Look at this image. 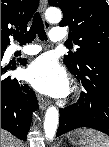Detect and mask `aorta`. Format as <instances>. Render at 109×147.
I'll use <instances>...</instances> for the list:
<instances>
[{"instance_id": "762f6f07", "label": "aorta", "mask_w": 109, "mask_h": 147, "mask_svg": "<svg viewBox=\"0 0 109 147\" xmlns=\"http://www.w3.org/2000/svg\"><path fill=\"white\" fill-rule=\"evenodd\" d=\"M45 17L49 22H60L62 19L61 11L56 7H50L45 12ZM59 122V111L51 106L47 109L44 121V132L46 138L52 140L55 136Z\"/></svg>"}]
</instances>
